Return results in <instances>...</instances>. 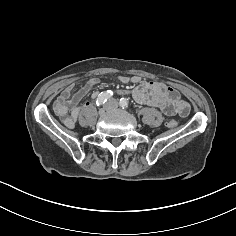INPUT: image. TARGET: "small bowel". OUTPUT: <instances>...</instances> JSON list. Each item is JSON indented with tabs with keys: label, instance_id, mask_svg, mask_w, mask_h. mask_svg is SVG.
I'll use <instances>...</instances> for the list:
<instances>
[{
	"label": "small bowel",
	"instance_id": "c3829d8e",
	"mask_svg": "<svg viewBox=\"0 0 236 236\" xmlns=\"http://www.w3.org/2000/svg\"><path fill=\"white\" fill-rule=\"evenodd\" d=\"M119 81L123 84L135 85L131 94L139 104L159 109L169 116L179 115L185 117L190 112L189 104L181 99L179 92L162 82L144 80L140 76H120ZM98 83V79L91 78L86 85L76 92H74V84L71 83L57 96L54 102V111L66 127L74 126L82 111L79 106L80 101ZM96 96L97 94L94 93L92 97Z\"/></svg>",
	"mask_w": 236,
	"mask_h": 236
}]
</instances>
